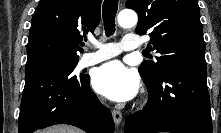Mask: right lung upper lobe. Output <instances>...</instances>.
Wrapping results in <instances>:
<instances>
[{"mask_svg": "<svg viewBox=\"0 0 221 133\" xmlns=\"http://www.w3.org/2000/svg\"><path fill=\"white\" fill-rule=\"evenodd\" d=\"M102 0H40L31 22L26 71L78 62L83 35L100 22Z\"/></svg>", "mask_w": 221, "mask_h": 133, "instance_id": "right-lung-upper-lobe-1", "label": "right lung upper lobe"}]
</instances>
